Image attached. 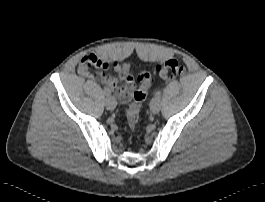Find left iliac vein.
<instances>
[{"instance_id":"left-iliac-vein-1","label":"left iliac vein","mask_w":265,"mask_h":202,"mask_svg":"<svg viewBox=\"0 0 265 202\" xmlns=\"http://www.w3.org/2000/svg\"><path fill=\"white\" fill-rule=\"evenodd\" d=\"M150 109H151V112L154 114L159 113V111L161 109L160 99L153 98L150 102Z\"/></svg>"}]
</instances>
